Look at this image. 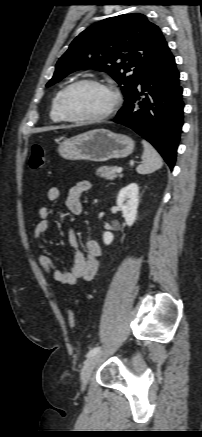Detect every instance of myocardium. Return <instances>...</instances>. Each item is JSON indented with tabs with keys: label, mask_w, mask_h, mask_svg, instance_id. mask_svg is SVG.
<instances>
[{
	"label": "myocardium",
	"mask_w": 202,
	"mask_h": 437,
	"mask_svg": "<svg viewBox=\"0 0 202 437\" xmlns=\"http://www.w3.org/2000/svg\"><path fill=\"white\" fill-rule=\"evenodd\" d=\"M84 84L98 86L102 89H105L111 94L112 103L104 113L92 117H80V116L72 115L68 112L65 106L66 97L74 88ZM121 101H122L121 94L115 86L94 78H82L72 82L71 84H69L63 89V91L59 96L58 107L62 117L67 121L74 122V123H82V124H93V123L103 122L109 119L110 117H112L119 109Z\"/></svg>",
	"instance_id": "myocardium-1"
}]
</instances>
